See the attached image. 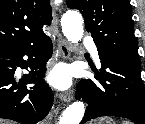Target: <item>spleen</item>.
Returning a JSON list of instances; mask_svg holds the SVG:
<instances>
[{
	"label": "spleen",
	"instance_id": "spleen-1",
	"mask_svg": "<svg viewBox=\"0 0 145 124\" xmlns=\"http://www.w3.org/2000/svg\"><path fill=\"white\" fill-rule=\"evenodd\" d=\"M124 124H129L128 122H125Z\"/></svg>",
	"mask_w": 145,
	"mask_h": 124
}]
</instances>
